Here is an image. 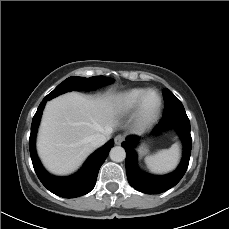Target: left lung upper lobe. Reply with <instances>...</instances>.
Returning <instances> with one entry per match:
<instances>
[{
  "instance_id": "obj_1",
  "label": "left lung upper lobe",
  "mask_w": 229,
  "mask_h": 229,
  "mask_svg": "<svg viewBox=\"0 0 229 229\" xmlns=\"http://www.w3.org/2000/svg\"><path fill=\"white\" fill-rule=\"evenodd\" d=\"M163 94L165 101V110L163 117L170 116L176 113H185L182 103L169 89H164Z\"/></svg>"
}]
</instances>
